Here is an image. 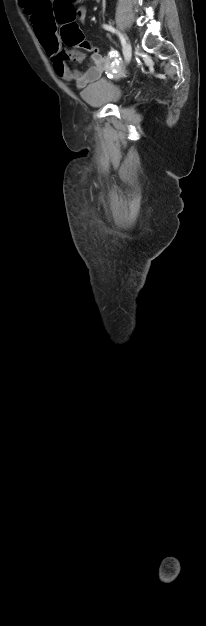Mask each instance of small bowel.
<instances>
[{"label":"small bowel","instance_id":"1","mask_svg":"<svg viewBox=\"0 0 206 626\" xmlns=\"http://www.w3.org/2000/svg\"><path fill=\"white\" fill-rule=\"evenodd\" d=\"M50 8V2L46 1L40 10L29 9L34 32L46 53L52 57L56 75L66 82H73L77 88L82 89L88 84L98 80L103 71L114 69L118 63V53L111 50L106 56L95 49L91 61L92 64L85 70L71 69L66 59L60 52V44L56 36L55 18ZM87 15V9L80 5L75 11V17L83 22Z\"/></svg>","mask_w":206,"mask_h":626}]
</instances>
